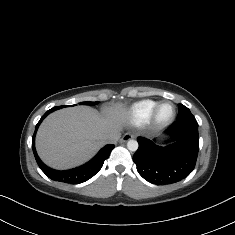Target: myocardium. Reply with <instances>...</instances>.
<instances>
[{
  "instance_id": "myocardium-1",
  "label": "myocardium",
  "mask_w": 235,
  "mask_h": 235,
  "mask_svg": "<svg viewBox=\"0 0 235 235\" xmlns=\"http://www.w3.org/2000/svg\"><path fill=\"white\" fill-rule=\"evenodd\" d=\"M171 103L173 105V108H174V113L172 115V117L168 120H165V121H162L159 119V116H158V112H159V109L160 107L165 104V103ZM176 115H177V107H176V104L171 101V100H162V101H159L153 108L152 110V113H151V122L152 124L157 127V128H165L169 125H171L174 121H175V118H176Z\"/></svg>"
}]
</instances>
